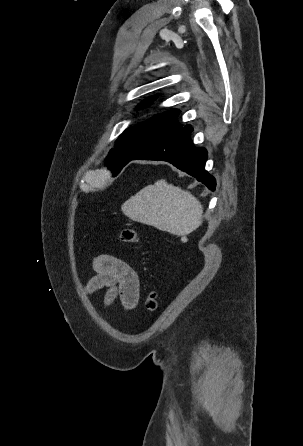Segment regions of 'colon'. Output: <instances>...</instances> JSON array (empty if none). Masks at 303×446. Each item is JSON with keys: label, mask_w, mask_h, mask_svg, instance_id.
I'll list each match as a JSON object with an SVG mask.
<instances>
[{"label": "colon", "mask_w": 303, "mask_h": 446, "mask_svg": "<svg viewBox=\"0 0 303 446\" xmlns=\"http://www.w3.org/2000/svg\"><path fill=\"white\" fill-rule=\"evenodd\" d=\"M120 239L122 242L128 244H135L139 240L138 233L129 227H125L120 232ZM158 306V294L156 291L152 290L148 293L145 299V308L148 311H155Z\"/></svg>", "instance_id": "1"}]
</instances>
